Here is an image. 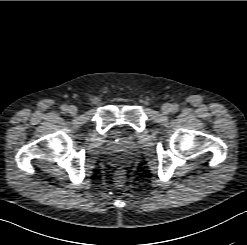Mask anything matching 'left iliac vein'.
<instances>
[{"instance_id":"left-iliac-vein-1","label":"left iliac vein","mask_w":247,"mask_h":245,"mask_svg":"<svg viewBox=\"0 0 247 245\" xmlns=\"http://www.w3.org/2000/svg\"><path fill=\"white\" fill-rule=\"evenodd\" d=\"M172 110V106L168 103H165L161 107V111L163 114L168 115Z\"/></svg>"}]
</instances>
